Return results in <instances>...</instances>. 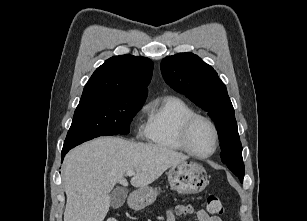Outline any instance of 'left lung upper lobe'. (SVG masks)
<instances>
[{"mask_svg": "<svg viewBox=\"0 0 307 221\" xmlns=\"http://www.w3.org/2000/svg\"><path fill=\"white\" fill-rule=\"evenodd\" d=\"M166 83L206 110L214 120L220 140L221 159L228 168L244 178L242 145L235 112L226 86L216 71L193 53H178L161 62Z\"/></svg>", "mask_w": 307, "mask_h": 221, "instance_id": "left-lung-upper-lobe-1", "label": "left lung upper lobe"}]
</instances>
